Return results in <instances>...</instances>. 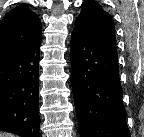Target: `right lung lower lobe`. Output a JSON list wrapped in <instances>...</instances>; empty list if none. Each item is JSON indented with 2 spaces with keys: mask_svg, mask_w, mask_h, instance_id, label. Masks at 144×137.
<instances>
[{
  "mask_svg": "<svg viewBox=\"0 0 144 137\" xmlns=\"http://www.w3.org/2000/svg\"><path fill=\"white\" fill-rule=\"evenodd\" d=\"M41 36L0 58V131L39 137V57Z\"/></svg>",
  "mask_w": 144,
  "mask_h": 137,
  "instance_id": "1",
  "label": "right lung lower lobe"
}]
</instances>
